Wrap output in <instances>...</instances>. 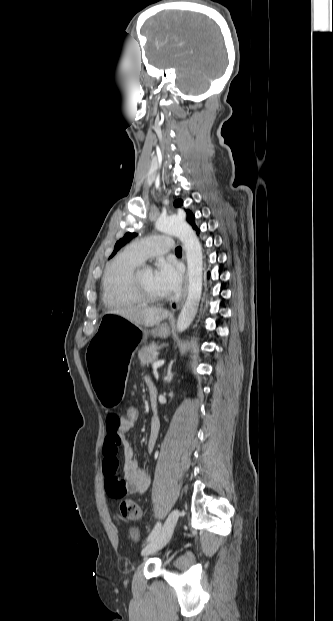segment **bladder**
<instances>
[{"instance_id":"bladder-1","label":"bladder","mask_w":333,"mask_h":621,"mask_svg":"<svg viewBox=\"0 0 333 621\" xmlns=\"http://www.w3.org/2000/svg\"><path fill=\"white\" fill-rule=\"evenodd\" d=\"M128 535H129L130 540L133 543H139V541H140V533H139V530H138L137 527H135V526L130 527L129 531H128Z\"/></svg>"}]
</instances>
